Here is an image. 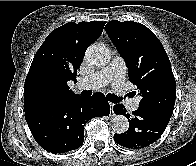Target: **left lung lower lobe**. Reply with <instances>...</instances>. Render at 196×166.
<instances>
[{"mask_svg": "<svg viewBox=\"0 0 196 166\" xmlns=\"http://www.w3.org/2000/svg\"><path fill=\"white\" fill-rule=\"evenodd\" d=\"M114 113L128 118L129 128L125 133L115 134L114 141L123 147L138 149L155 142L164 132L170 117L162 112L138 108L133 117L126 114L123 104L114 105Z\"/></svg>", "mask_w": 196, "mask_h": 166, "instance_id": "1", "label": "left lung lower lobe"}]
</instances>
